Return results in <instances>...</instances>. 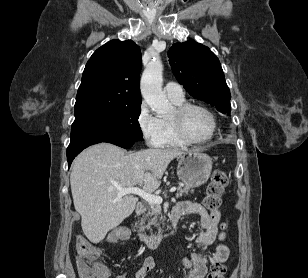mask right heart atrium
<instances>
[{"label":"right heart atrium","instance_id":"d8ad5b80","mask_svg":"<svg viewBox=\"0 0 308 278\" xmlns=\"http://www.w3.org/2000/svg\"><path fill=\"white\" fill-rule=\"evenodd\" d=\"M137 125L145 142L151 147H161L164 132L161 119L155 116L148 105L143 102L137 115Z\"/></svg>","mask_w":308,"mask_h":278}]
</instances>
